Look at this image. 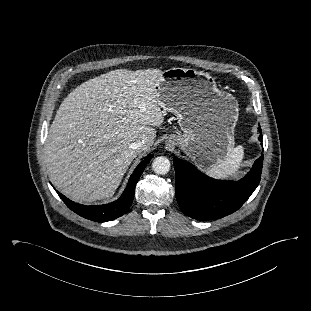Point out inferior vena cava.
<instances>
[{"mask_svg":"<svg viewBox=\"0 0 311 311\" xmlns=\"http://www.w3.org/2000/svg\"><path fill=\"white\" fill-rule=\"evenodd\" d=\"M144 144H145V140L135 141L130 144V148L138 151L139 149H141V147L144 146Z\"/></svg>","mask_w":311,"mask_h":311,"instance_id":"inferior-vena-cava-1","label":"inferior vena cava"}]
</instances>
